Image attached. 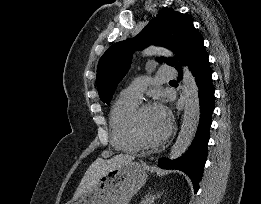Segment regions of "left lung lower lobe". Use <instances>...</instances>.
Returning a JSON list of instances; mask_svg holds the SVG:
<instances>
[{"label": "left lung lower lobe", "mask_w": 261, "mask_h": 204, "mask_svg": "<svg viewBox=\"0 0 261 204\" xmlns=\"http://www.w3.org/2000/svg\"><path fill=\"white\" fill-rule=\"evenodd\" d=\"M182 61L190 68L199 89L200 119L198 130L189 150L182 157L173 161L162 158L158 165L164 169H176L185 172L192 180L196 193L199 189V182L203 176V167L207 158L211 115L215 104L212 72L203 38L199 33L193 37ZM176 69L179 72L178 80L180 81L182 79L180 65Z\"/></svg>", "instance_id": "1"}]
</instances>
